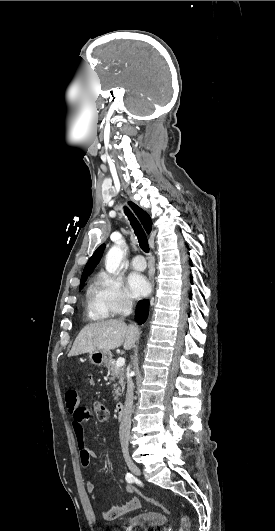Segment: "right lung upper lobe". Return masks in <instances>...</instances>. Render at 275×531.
I'll return each instance as SVG.
<instances>
[{"label":"right lung upper lobe","mask_w":275,"mask_h":531,"mask_svg":"<svg viewBox=\"0 0 275 531\" xmlns=\"http://www.w3.org/2000/svg\"><path fill=\"white\" fill-rule=\"evenodd\" d=\"M129 206L132 208V210L135 212V214L141 221L146 232L150 233L152 230V222H151L150 216L145 211H143L140 207L134 204L133 202H129ZM104 249H105V245L102 244L96 249L94 254L91 256V258L87 262L84 268V271L82 273L81 283L85 282V280L87 279V276L93 271L95 266L98 264Z\"/></svg>","instance_id":"cb5924a9"}]
</instances>
